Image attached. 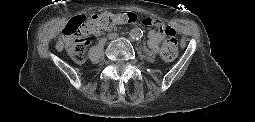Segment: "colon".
<instances>
[{
  "instance_id": "5ec220e1",
  "label": "colon",
  "mask_w": 255,
  "mask_h": 122,
  "mask_svg": "<svg viewBox=\"0 0 255 122\" xmlns=\"http://www.w3.org/2000/svg\"><path fill=\"white\" fill-rule=\"evenodd\" d=\"M138 19V15L133 12H105L87 17H76L67 24L63 31L67 53L74 61L83 62L93 35L109 30L118 24L137 22ZM141 23L144 26H155L168 36L162 45L161 56L167 61L175 59L178 53L175 30L170 26L155 23L150 17L142 19Z\"/></svg>"
}]
</instances>
